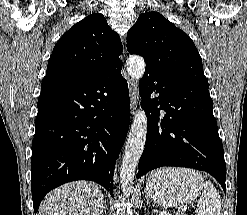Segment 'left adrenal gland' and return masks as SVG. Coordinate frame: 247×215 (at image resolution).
I'll return each mask as SVG.
<instances>
[{"mask_svg": "<svg viewBox=\"0 0 247 215\" xmlns=\"http://www.w3.org/2000/svg\"><path fill=\"white\" fill-rule=\"evenodd\" d=\"M146 198H147V202H150L149 198L148 197H146Z\"/></svg>", "mask_w": 247, "mask_h": 215, "instance_id": "1", "label": "left adrenal gland"}]
</instances>
